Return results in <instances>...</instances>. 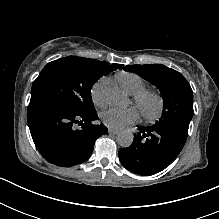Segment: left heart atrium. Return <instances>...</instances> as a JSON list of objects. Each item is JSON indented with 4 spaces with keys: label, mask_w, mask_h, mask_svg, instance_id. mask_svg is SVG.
<instances>
[{
    "label": "left heart atrium",
    "mask_w": 219,
    "mask_h": 219,
    "mask_svg": "<svg viewBox=\"0 0 219 219\" xmlns=\"http://www.w3.org/2000/svg\"><path fill=\"white\" fill-rule=\"evenodd\" d=\"M139 117L140 113L136 107L126 109L110 108L101 114L103 123L114 129H123L137 122Z\"/></svg>",
    "instance_id": "left-heart-atrium-1"
}]
</instances>
